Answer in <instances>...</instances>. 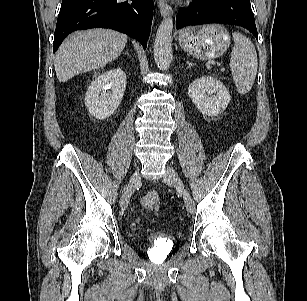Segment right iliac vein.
Here are the masks:
<instances>
[{
  "mask_svg": "<svg viewBox=\"0 0 307 301\" xmlns=\"http://www.w3.org/2000/svg\"><path fill=\"white\" fill-rule=\"evenodd\" d=\"M140 181V174H139V170H136L130 177L129 180V184L126 188V190L124 191L121 201H120V206L122 209H126V207L129 204L130 198L132 196V193L135 189V187L137 186V184Z\"/></svg>",
  "mask_w": 307,
  "mask_h": 301,
  "instance_id": "1",
  "label": "right iliac vein"
}]
</instances>
